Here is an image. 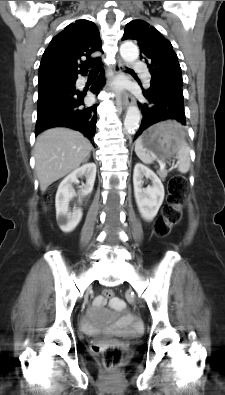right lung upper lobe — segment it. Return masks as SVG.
I'll return each mask as SVG.
<instances>
[{"mask_svg": "<svg viewBox=\"0 0 225 395\" xmlns=\"http://www.w3.org/2000/svg\"><path fill=\"white\" fill-rule=\"evenodd\" d=\"M101 39L96 25L88 20H77L56 35L45 50L39 66V88L73 81L78 74L86 75L88 68L100 63L91 58L101 51ZM86 57V61L81 58Z\"/></svg>", "mask_w": 225, "mask_h": 395, "instance_id": "cb5924a9", "label": "right lung upper lobe"}]
</instances>
